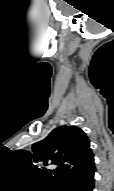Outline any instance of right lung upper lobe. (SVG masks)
Listing matches in <instances>:
<instances>
[{
	"instance_id": "right-lung-upper-lobe-1",
	"label": "right lung upper lobe",
	"mask_w": 114,
	"mask_h": 191,
	"mask_svg": "<svg viewBox=\"0 0 114 191\" xmlns=\"http://www.w3.org/2000/svg\"><path fill=\"white\" fill-rule=\"evenodd\" d=\"M86 134L76 126H60L42 141L33 144L30 153L18 150L20 157L37 173L50 178L55 187L75 176L95 169L94 155Z\"/></svg>"
}]
</instances>
